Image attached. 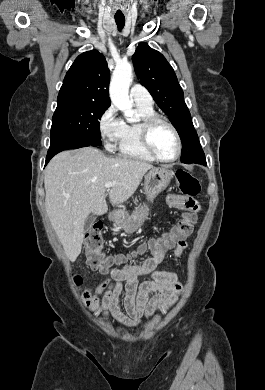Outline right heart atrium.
Segmentation results:
<instances>
[{"label": "right heart atrium", "instance_id": "right-heart-atrium-1", "mask_svg": "<svg viewBox=\"0 0 265 390\" xmlns=\"http://www.w3.org/2000/svg\"><path fill=\"white\" fill-rule=\"evenodd\" d=\"M123 120L118 116L117 109L110 105L100 116L98 129L105 146L113 149L120 137Z\"/></svg>", "mask_w": 265, "mask_h": 390}]
</instances>
